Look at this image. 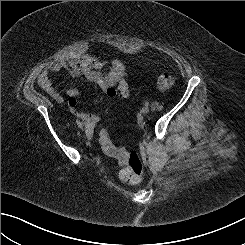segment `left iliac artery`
<instances>
[{"label":"left iliac artery","instance_id":"obj_1","mask_svg":"<svg viewBox=\"0 0 245 245\" xmlns=\"http://www.w3.org/2000/svg\"><path fill=\"white\" fill-rule=\"evenodd\" d=\"M144 104H145L146 106H148V105H149V103H148V102H145Z\"/></svg>","mask_w":245,"mask_h":245}]
</instances>
